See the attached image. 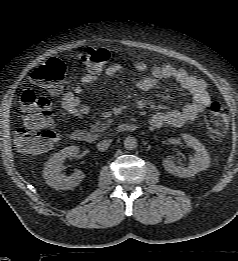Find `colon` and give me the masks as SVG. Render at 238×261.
Segmentation results:
<instances>
[{
    "label": "colon",
    "mask_w": 238,
    "mask_h": 261,
    "mask_svg": "<svg viewBox=\"0 0 238 261\" xmlns=\"http://www.w3.org/2000/svg\"><path fill=\"white\" fill-rule=\"evenodd\" d=\"M81 59L85 66L98 72L110 60V52L104 48H88ZM66 73L65 64L58 58H51L32 73L35 84L50 91H58ZM24 126L16 130L14 141L19 151L25 154H39L51 148L59 139L54 128L50 102L46 97L26 90L21 97ZM209 136L214 140L224 137L229 124V112L220 102H212L205 114Z\"/></svg>",
    "instance_id": "1"
}]
</instances>
